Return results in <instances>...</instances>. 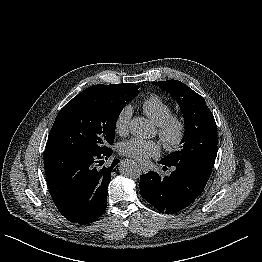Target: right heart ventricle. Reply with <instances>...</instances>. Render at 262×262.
Returning a JSON list of instances; mask_svg holds the SVG:
<instances>
[{"instance_id":"right-heart-ventricle-1","label":"right heart ventricle","mask_w":262,"mask_h":262,"mask_svg":"<svg viewBox=\"0 0 262 262\" xmlns=\"http://www.w3.org/2000/svg\"><path fill=\"white\" fill-rule=\"evenodd\" d=\"M143 112L159 125L171 114L170 105L158 95H150L142 102Z\"/></svg>"}]
</instances>
